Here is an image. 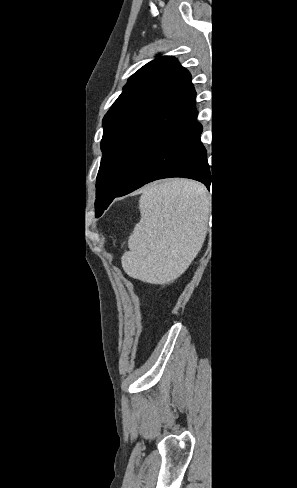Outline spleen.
Listing matches in <instances>:
<instances>
[{
  "label": "spleen",
  "mask_w": 297,
  "mask_h": 488,
  "mask_svg": "<svg viewBox=\"0 0 297 488\" xmlns=\"http://www.w3.org/2000/svg\"><path fill=\"white\" fill-rule=\"evenodd\" d=\"M141 218L122 256L132 278L161 284L178 277L201 248L202 215L209 195L197 182L175 179L149 186L139 200Z\"/></svg>",
  "instance_id": "obj_1"
}]
</instances>
